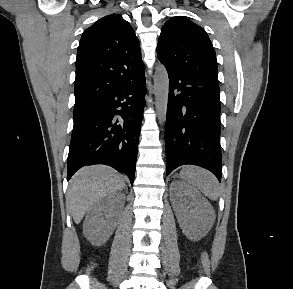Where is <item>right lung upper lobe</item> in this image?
<instances>
[{
  "instance_id": "right-lung-upper-lobe-1",
  "label": "right lung upper lobe",
  "mask_w": 293,
  "mask_h": 289,
  "mask_svg": "<svg viewBox=\"0 0 293 289\" xmlns=\"http://www.w3.org/2000/svg\"><path fill=\"white\" fill-rule=\"evenodd\" d=\"M144 75L139 40L119 14L105 16L82 34L77 50L75 105L79 108Z\"/></svg>"
}]
</instances>
